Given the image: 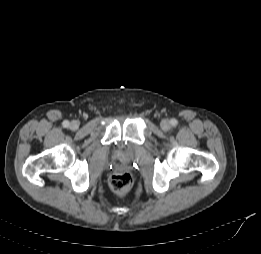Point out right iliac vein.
Wrapping results in <instances>:
<instances>
[{
    "label": "right iliac vein",
    "mask_w": 261,
    "mask_h": 254,
    "mask_svg": "<svg viewBox=\"0 0 261 254\" xmlns=\"http://www.w3.org/2000/svg\"><path fill=\"white\" fill-rule=\"evenodd\" d=\"M78 127H79V123H78V121H72L71 123H70V128L72 129V130H77L78 129Z\"/></svg>",
    "instance_id": "63e3f726"
}]
</instances>
